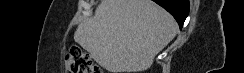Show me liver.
I'll list each match as a JSON object with an SVG mask.
<instances>
[{"mask_svg": "<svg viewBox=\"0 0 244 73\" xmlns=\"http://www.w3.org/2000/svg\"><path fill=\"white\" fill-rule=\"evenodd\" d=\"M175 19L151 0H102L74 40L110 73L148 69L176 36Z\"/></svg>", "mask_w": 244, "mask_h": 73, "instance_id": "6515ba94", "label": "liver"}]
</instances>
